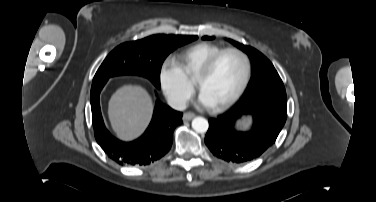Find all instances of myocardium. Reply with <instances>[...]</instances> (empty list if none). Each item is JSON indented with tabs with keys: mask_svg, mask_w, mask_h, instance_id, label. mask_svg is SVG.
I'll return each mask as SVG.
<instances>
[{
	"mask_svg": "<svg viewBox=\"0 0 376 202\" xmlns=\"http://www.w3.org/2000/svg\"><path fill=\"white\" fill-rule=\"evenodd\" d=\"M229 53L235 54L242 59L243 64H244V75H243L242 82L239 88L237 89V91L225 102L219 105L213 106V110L217 112L224 111L228 109L229 107H231L246 90L250 77H251V70H252L251 60L249 56L244 51L238 48H234V47L224 48L220 50L219 52H217L216 54H214L205 62V64L202 66V68L200 69V71L198 72L194 80L196 87L198 88V90H200L201 83L211 74L212 70L214 69L219 59L223 55L229 54Z\"/></svg>",
	"mask_w": 376,
	"mask_h": 202,
	"instance_id": "f54148a6",
	"label": "myocardium"
}]
</instances>
